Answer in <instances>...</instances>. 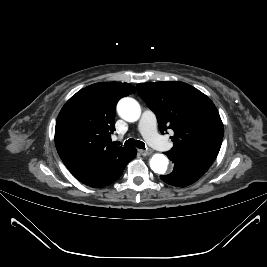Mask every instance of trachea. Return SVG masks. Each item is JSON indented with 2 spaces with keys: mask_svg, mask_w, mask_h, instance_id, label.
Here are the masks:
<instances>
[{
  "mask_svg": "<svg viewBox=\"0 0 267 267\" xmlns=\"http://www.w3.org/2000/svg\"><path fill=\"white\" fill-rule=\"evenodd\" d=\"M124 146H128V147L136 146L139 149H144L145 148V143L140 141V140H135L133 138H130L124 143Z\"/></svg>",
  "mask_w": 267,
  "mask_h": 267,
  "instance_id": "3493384b",
  "label": "trachea"
}]
</instances>
